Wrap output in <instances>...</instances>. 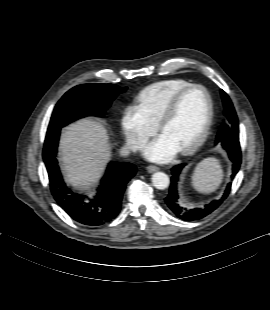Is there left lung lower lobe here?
Returning a JSON list of instances; mask_svg holds the SVG:
<instances>
[{
    "label": "left lung lower lobe",
    "instance_id": "0a47b994",
    "mask_svg": "<svg viewBox=\"0 0 270 310\" xmlns=\"http://www.w3.org/2000/svg\"><path fill=\"white\" fill-rule=\"evenodd\" d=\"M227 152L229 154L230 160L233 162V169H232V174H231V180H233L241 164L240 147L232 148L230 150H227ZM183 167H184V164H180L172 168L171 183H170L168 195L165 198V202L168 205V207L172 210V212L180 219H183L186 221L198 220L210 214L211 212H213L216 208H218L221 205L223 200L228 196L232 183L230 182L227 185L226 190L220 199L210 202L209 204L205 205L204 208H195V209L188 210L182 207L178 203L179 197L177 193V182L179 179V174L181 173V170Z\"/></svg>",
    "mask_w": 270,
    "mask_h": 310
}]
</instances>
